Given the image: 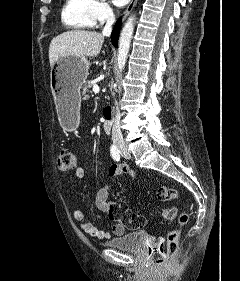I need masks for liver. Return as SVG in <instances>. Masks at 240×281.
<instances>
[{"label": "liver", "instance_id": "6515ba94", "mask_svg": "<svg viewBox=\"0 0 240 281\" xmlns=\"http://www.w3.org/2000/svg\"><path fill=\"white\" fill-rule=\"evenodd\" d=\"M104 36L85 30H71L54 37L49 46L50 67L67 56L94 57L100 53Z\"/></svg>", "mask_w": 240, "mask_h": 281}]
</instances>
